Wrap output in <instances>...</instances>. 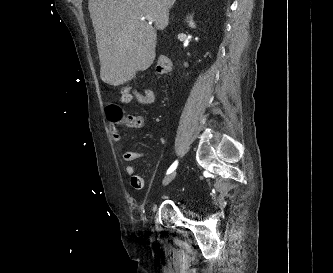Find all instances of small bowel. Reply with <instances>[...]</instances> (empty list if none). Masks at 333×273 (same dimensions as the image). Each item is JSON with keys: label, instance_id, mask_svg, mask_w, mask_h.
I'll use <instances>...</instances> for the list:
<instances>
[{"label": "small bowel", "instance_id": "c3829d8e", "mask_svg": "<svg viewBox=\"0 0 333 273\" xmlns=\"http://www.w3.org/2000/svg\"><path fill=\"white\" fill-rule=\"evenodd\" d=\"M139 102L144 105H152L155 101V94L153 92L152 88H145L143 92H138L135 91L134 93L131 94H122L118 104L117 105L119 108L121 105H126L131 102ZM128 127L133 128V129H140L143 128L146 125V121L144 117L142 116H134L131 117L130 120L127 122ZM112 138L114 142L121 147V134L117 130V128L113 125L110 126ZM122 158L126 162H133L136 160L140 159H147L148 155L143 153V152H138V151H133V150H124L122 152ZM125 171L127 175L130 176V182L133 188L136 190H141L144 187V182L141 176L136 175V169L134 165H127L125 167Z\"/></svg>", "mask_w": 333, "mask_h": 273}]
</instances>
